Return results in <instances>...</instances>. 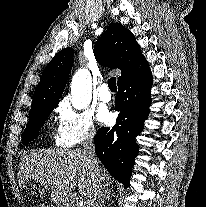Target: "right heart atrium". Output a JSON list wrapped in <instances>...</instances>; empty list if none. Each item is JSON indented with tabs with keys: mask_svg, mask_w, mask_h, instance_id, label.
I'll return each instance as SVG.
<instances>
[{
	"mask_svg": "<svg viewBox=\"0 0 206 207\" xmlns=\"http://www.w3.org/2000/svg\"><path fill=\"white\" fill-rule=\"evenodd\" d=\"M95 136V120L90 111L75 109L68 100L59 104L55 137L58 146L71 148L90 143Z\"/></svg>",
	"mask_w": 206,
	"mask_h": 207,
	"instance_id": "1",
	"label": "right heart atrium"
}]
</instances>
